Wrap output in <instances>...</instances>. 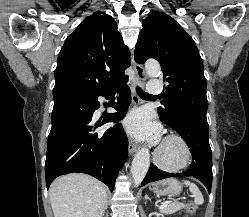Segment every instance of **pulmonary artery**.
I'll return each instance as SVG.
<instances>
[{
  "instance_id": "obj_1",
  "label": "pulmonary artery",
  "mask_w": 249,
  "mask_h": 217,
  "mask_svg": "<svg viewBox=\"0 0 249 217\" xmlns=\"http://www.w3.org/2000/svg\"><path fill=\"white\" fill-rule=\"evenodd\" d=\"M148 92L150 95H158L161 93V82L158 80H151L148 84Z\"/></svg>"
}]
</instances>
